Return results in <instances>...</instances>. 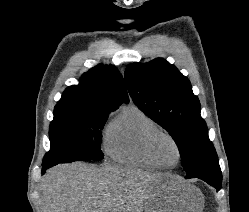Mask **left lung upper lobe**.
<instances>
[{"label": "left lung upper lobe", "instance_id": "1", "mask_svg": "<svg viewBox=\"0 0 249 212\" xmlns=\"http://www.w3.org/2000/svg\"><path fill=\"white\" fill-rule=\"evenodd\" d=\"M134 103L174 139L186 177L220 173L218 157L189 80L162 58L132 63L125 71Z\"/></svg>", "mask_w": 249, "mask_h": 212}]
</instances>
